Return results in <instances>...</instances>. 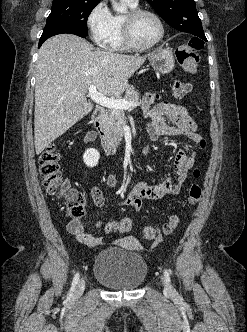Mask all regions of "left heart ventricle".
Here are the masks:
<instances>
[{
  "label": "left heart ventricle",
  "mask_w": 247,
  "mask_h": 332,
  "mask_svg": "<svg viewBox=\"0 0 247 332\" xmlns=\"http://www.w3.org/2000/svg\"><path fill=\"white\" fill-rule=\"evenodd\" d=\"M133 37L138 44L148 45L160 36V27L157 21L149 15H142L133 23Z\"/></svg>",
  "instance_id": "obj_1"
}]
</instances>
